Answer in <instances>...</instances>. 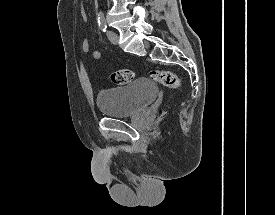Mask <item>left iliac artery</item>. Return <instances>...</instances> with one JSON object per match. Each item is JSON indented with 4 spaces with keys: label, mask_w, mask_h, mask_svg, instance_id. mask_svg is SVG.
Returning <instances> with one entry per match:
<instances>
[{
    "label": "left iliac artery",
    "mask_w": 275,
    "mask_h": 215,
    "mask_svg": "<svg viewBox=\"0 0 275 215\" xmlns=\"http://www.w3.org/2000/svg\"><path fill=\"white\" fill-rule=\"evenodd\" d=\"M98 24H99V28L103 32H106L107 25H106V20H105V17H104V14H103L102 11H100L99 14H98Z\"/></svg>",
    "instance_id": "obj_1"
}]
</instances>
